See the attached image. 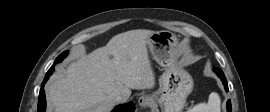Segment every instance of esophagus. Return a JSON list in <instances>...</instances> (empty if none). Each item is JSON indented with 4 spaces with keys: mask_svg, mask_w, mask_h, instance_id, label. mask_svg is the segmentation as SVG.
<instances>
[{
    "mask_svg": "<svg viewBox=\"0 0 270 112\" xmlns=\"http://www.w3.org/2000/svg\"><path fill=\"white\" fill-rule=\"evenodd\" d=\"M151 103H152V97L150 95H142L138 99V104L142 108H146V107L150 106Z\"/></svg>",
    "mask_w": 270,
    "mask_h": 112,
    "instance_id": "obj_1",
    "label": "esophagus"
}]
</instances>
